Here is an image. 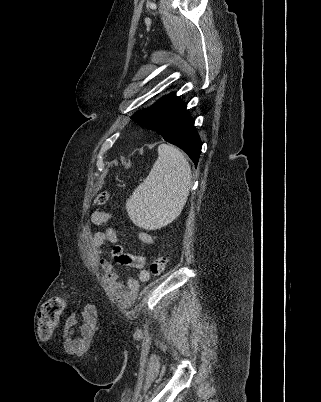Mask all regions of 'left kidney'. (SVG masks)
<instances>
[{
  "instance_id": "1",
  "label": "left kidney",
  "mask_w": 321,
  "mask_h": 402,
  "mask_svg": "<svg viewBox=\"0 0 321 402\" xmlns=\"http://www.w3.org/2000/svg\"><path fill=\"white\" fill-rule=\"evenodd\" d=\"M174 219H175V218H174ZM174 219H172L171 221H169L168 223H166V225L169 224L170 222H172Z\"/></svg>"
}]
</instances>
